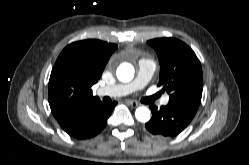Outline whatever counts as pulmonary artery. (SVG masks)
I'll list each match as a JSON object with an SVG mask.
<instances>
[{
    "instance_id": "obj_1",
    "label": "pulmonary artery",
    "mask_w": 249,
    "mask_h": 165,
    "mask_svg": "<svg viewBox=\"0 0 249 165\" xmlns=\"http://www.w3.org/2000/svg\"><path fill=\"white\" fill-rule=\"evenodd\" d=\"M155 68V64L151 60L141 59L139 61L138 73L132 81L100 88L98 93L108 94L111 96H126L133 92L139 91L143 89L151 80ZM168 101L169 98L165 96L162 98L161 104L166 105Z\"/></svg>"
}]
</instances>
